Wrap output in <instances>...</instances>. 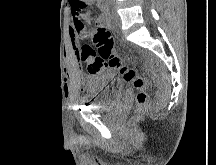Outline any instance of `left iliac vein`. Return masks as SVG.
Here are the masks:
<instances>
[{
  "label": "left iliac vein",
  "instance_id": "1",
  "mask_svg": "<svg viewBox=\"0 0 216 165\" xmlns=\"http://www.w3.org/2000/svg\"><path fill=\"white\" fill-rule=\"evenodd\" d=\"M113 22L116 26H121V19H120V16L118 15V13L116 12V9H115V4H113Z\"/></svg>",
  "mask_w": 216,
  "mask_h": 165
}]
</instances>
